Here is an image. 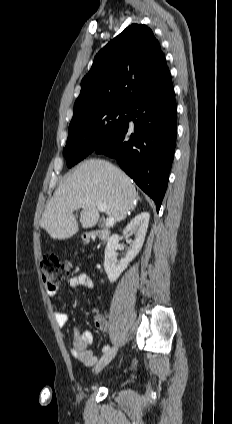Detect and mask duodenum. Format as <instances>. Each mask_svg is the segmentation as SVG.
<instances>
[{
    "label": "duodenum",
    "instance_id": "410a0bca",
    "mask_svg": "<svg viewBox=\"0 0 232 424\" xmlns=\"http://www.w3.org/2000/svg\"><path fill=\"white\" fill-rule=\"evenodd\" d=\"M95 236L101 241L106 242L110 237V232L108 230H101L95 233Z\"/></svg>",
    "mask_w": 232,
    "mask_h": 424
}]
</instances>
